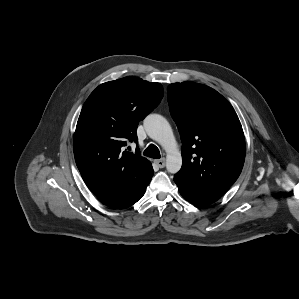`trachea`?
<instances>
[{"label":"trachea","mask_w":299,"mask_h":299,"mask_svg":"<svg viewBox=\"0 0 299 299\" xmlns=\"http://www.w3.org/2000/svg\"><path fill=\"white\" fill-rule=\"evenodd\" d=\"M143 155L154 159H159L161 157L158 147L154 144H150L143 152Z\"/></svg>","instance_id":"1"}]
</instances>
